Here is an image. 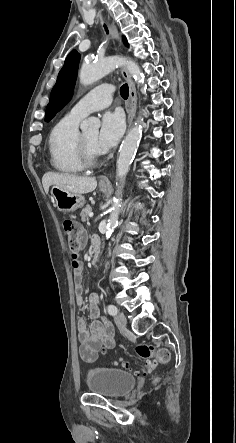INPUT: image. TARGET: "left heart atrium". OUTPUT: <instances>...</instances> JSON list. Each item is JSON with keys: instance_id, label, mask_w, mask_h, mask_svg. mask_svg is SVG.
Masks as SVG:
<instances>
[{"instance_id": "obj_1", "label": "left heart atrium", "mask_w": 236, "mask_h": 443, "mask_svg": "<svg viewBox=\"0 0 236 443\" xmlns=\"http://www.w3.org/2000/svg\"><path fill=\"white\" fill-rule=\"evenodd\" d=\"M124 118L119 112H106L101 119L100 129L95 140L97 153H104L112 148L124 131Z\"/></svg>"}]
</instances>
